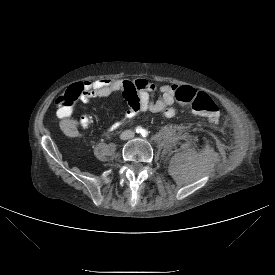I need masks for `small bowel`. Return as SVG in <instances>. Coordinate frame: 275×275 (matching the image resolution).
Segmentation results:
<instances>
[{"label":"small bowel","mask_w":275,"mask_h":275,"mask_svg":"<svg viewBox=\"0 0 275 275\" xmlns=\"http://www.w3.org/2000/svg\"><path fill=\"white\" fill-rule=\"evenodd\" d=\"M74 87L79 89L80 99L85 103L94 98L107 97L114 92L123 91V96L130 107L109 126L110 131L116 130L127 119L134 117L139 112H162L166 117H173L176 114L174 103L179 88L176 84H164L157 87L143 78L133 81L100 78L78 82ZM58 116L57 128L67 137L81 136L83 128L92 122V117L87 114L81 116L80 122L70 117H63L59 114Z\"/></svg>","instance_id":"obj_1"}]
</instances>
